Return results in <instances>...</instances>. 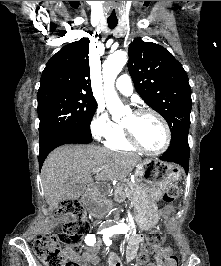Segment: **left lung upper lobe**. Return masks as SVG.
I'll list each match as a JSON object with an SVG mask.
<instances>
[{
	"label": "left lung upper lobe",
	"mask_w": 221,
	"mask_h": 266,
	"mask_svg": "<svg viewBox=\"0 0 221 266\" xmlns=\"http://www.w3.org/2000/svg\"><path fill=\"white\" fill-rule=\"evenodd\" d=\"M128 70L141 98L167 121L170 145L187 140L192 101L182 65L164 47L136 38L129 45Z\"/></svg>",
	"instance_id": "obj_1"
}]
</instances>
